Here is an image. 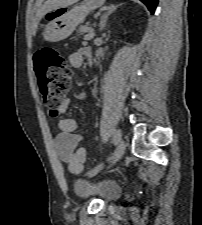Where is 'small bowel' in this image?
<instances>
[{
  "instance_id": "small-bowel-1",
  "label": "small bowel",
  "mask_w": 202,
  "mask_h": 225,
  "mask_svg": "<svg viewBox=\"0 0 202 225\" xmlns=\"http://www.w3.org/2000/svg\"><path fill=\"white\" fill-rule=\"evenodd\" d=\"M91 53L89 47H82L68 57V62L72 67L79 68L83 65L87 54ZM84 98V95H80ZM69 100L65 99L61 106L57 118H59L58 126L60 134L55 138V150L57 157L69 166L77 159L78 166L75 171L79 174L84 169L85 150L81 146L83 137L78 133L77 121L73 118L64 117L67 113Z\"/></svg>"
}]
</instances>
